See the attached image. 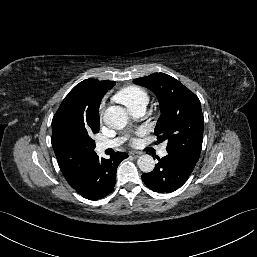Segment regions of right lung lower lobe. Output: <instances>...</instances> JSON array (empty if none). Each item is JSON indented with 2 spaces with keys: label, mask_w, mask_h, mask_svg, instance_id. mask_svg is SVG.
Masks as SVG:
<instances>
[{
  "label": "right lung lower lobe",
  "mask_w": 257,
  "mask_h": 257,
  "mask_svg": "<svg viewBox=\"0 0 257 257\" xmlns=\"http://www.w3.org/2000/svg\"><path fill=\"white\" fill-rule=\"evenodd\" d=\"M127 157L124 152H116L110 159L94 157L82 177L72 187L89 200H98L107 196L115 186L119 163Z\"/></svg>",
  "instance_id": "1"
}]
</instances>
